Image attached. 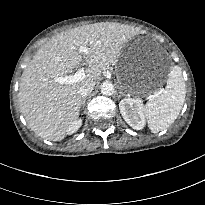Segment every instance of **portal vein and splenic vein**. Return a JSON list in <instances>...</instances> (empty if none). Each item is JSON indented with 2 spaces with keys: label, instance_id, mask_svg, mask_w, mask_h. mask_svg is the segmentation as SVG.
<instances>
[{
  "label": "portal vein and splenic vein",
  "instance_id": "18ae733b",
  "mask_svg": "<svg viewBox=\"0 0 205 205\" xmlns=\"http://www.w3.org/2000/svg\"><path fill=\"white\" fill-rule=\"evenodd\" d=\"M79 52L88 54V48L86 46H82L79 48ZM85 76V69L84 67H81L74 75L56 77L54 78V81L60 84H72L83 80Z\"/></svg>",
  "mask_w": 205,
  "mask_h": 205
}]
</instances>
